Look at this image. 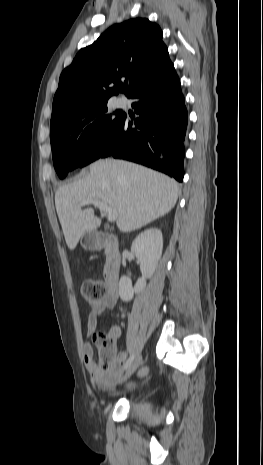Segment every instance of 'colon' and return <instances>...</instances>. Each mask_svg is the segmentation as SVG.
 I'll return each instance as SVG.
<instances>
[{"instance_id":"obj_1","label":"colon","mask_w":263,"mask_h":465,"mask_svg":"<svg viewBox=\"0 0 263 465\" xmlns=\"http://www.w3.org/2000/svg\"><path fill=\"white\" fill-rule=\"evenodd\" d=\"M81 293L88 303L94 304L105 296L106 286L99 279H86L81 285ZM92 339L99 351V368L103 371L112 369L116 365L115 337L111 333L99 332L93 334Z\"/></svg>"}]
</instances>
